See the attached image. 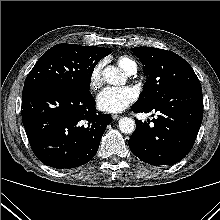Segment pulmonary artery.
Here are the masks:
<instances>
[{
    "label": "pulmonary artery",
    "instance_id": "1",
    "mask_svg": "<svg viewBox=\"0 0 220 220\" xmlns=\"http://www.w3.org/2000/svg\"><path fill=\"white\" fill-rule=\"evenodd\" d=\"M137 68H133L128 74H134L136 72Z\"/></svg>",
    "mask_w": 220,
    "mask_h": 220
}]
</instances>
